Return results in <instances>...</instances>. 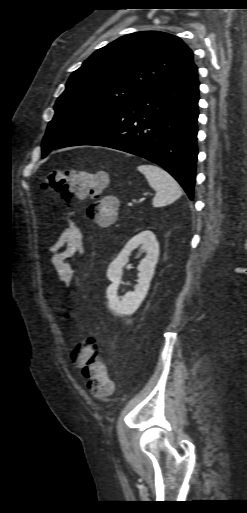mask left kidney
Segmentation results:
<instances>
[{
  "label": "left kidney",
  "instance_id": "1",
  "mask_svg": "<svg viewBox=\"0 0 247 513\" xmlns=\"http://www.w3.org/2000/svg\"><path fill=\"white\" fill-rule=\"evenodd\" d=\"M140 247L146 256L138 265V284L133 292H128L120 300L118 288L121 282L122 268L128 263L131 252ZM159 257V243L151 231H143L127 242L118 256L109 265L107 276L112 284L107 288L108 307L116 316L132 315L141 305L150 287L155 266Z\"/></svg>",
  "mask_w": 247,
  "mask_h": 513
}]
</instances>
